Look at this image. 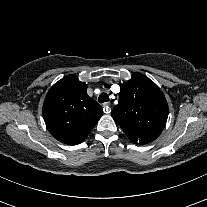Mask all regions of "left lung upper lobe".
<instances>
[{
  "instance_id": "obj_1",
  "label": "left lung upper lobe",
  "mask_w": 207,
  "mask_h": 207,
  "mask_svg": "<svg viewBox=\"0 0 207 207\" xmlns=\"http://www.w3.org/2000/svg\"><path fill=\"white\" fill-rule=\"evenodd\" d=\"M112 117L135 144L154 141L165 127L168 104L159 87L147 76L134 72L120 88Z\"/></svg>"
}]
</instances>
